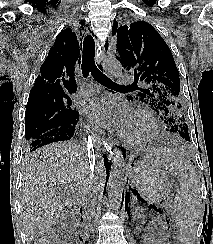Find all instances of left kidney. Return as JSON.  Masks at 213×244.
Segmentation results:
<instances>
[{
	"instance_id": "obj_1",
	"label": "left kidney",
	"mask_w": 213,
	"mask_h": 244,
	"mask_svg": "<svg viewBox=\"0 0 213 244\" xmlns=\"http://www.w3.org/2000/svg\"><path fill=\"white\" fill-rule=\"evenodd\" d=\"M145 217L144 210L141 208L135 209V218L143 219ZM155 229L151 234V240L147 244H168V237L164 227L157 219H154Z\"/></svg>"
}]
</instances>
